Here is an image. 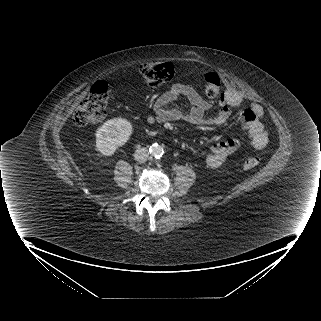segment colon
Segmentation results:
<instances>
[{
  "mask_svg": "<svg viewBox=\"0 0 321 321\" xmlns=\"http://www.w3.org/2000/svg\"><path fill=\"white\" fill-rule=\"evenodd\" d=\"M175 70L171 63H151L141 67L140 74L150 86H156L170 81ZM205 94L208 97H217L221 92L219 75L214 71H208L204 75ZM111 97L110 85L105 81L96 82L87 96L80 102L75 110L73 120L77 126H85L99 122L103 119L105 109ZM260 163L258 156H248L243 161L244 169H255Z\"/></svg>",
  "mask_w": 321,
  "mask_h": 321,
  "instance_id": "obj_1",
  "label": "colon"
}]
</instances>
